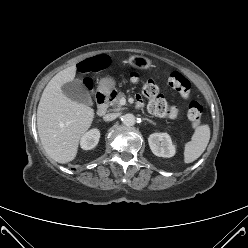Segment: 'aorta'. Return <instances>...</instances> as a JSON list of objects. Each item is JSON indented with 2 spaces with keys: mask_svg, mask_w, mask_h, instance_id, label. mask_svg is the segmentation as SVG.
Segmentation results:
<instances>
[{
  "mask_svg": "<svg viewBox=\"0 0 248 248\" xmlns=\"http://www.w3.org/2000/svg\"><path fill=\"white\" fill-rule=\"evenodd\" d=\"M122 122L126 126H133L136 122V118L133 114L127 113L123 115Z\"/></svg>",
  "mask_w": 248,
  "mask_h": 248,
  "instance_id": "obj_1",
  "label": "aorta"
}]
</instances>
